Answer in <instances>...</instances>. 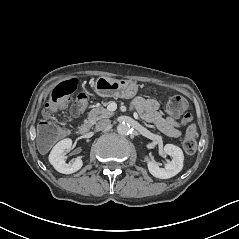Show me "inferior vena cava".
I'll use <instances>...</instances> for the list:
<instances>
[{"instance_id": "602c4592", "label": "inferior vena cava", "mask_w": 239, "mask_h": 239, "mask_svg": "<svg viewBox=\"0 0 239 239\" xmlns=\"http://www.w3.org/2000/svg\"><path fill=\"white\" fill-rule=\"evenodd\" d=\"M111 125L110 119H102L96 124L97 130H105Z\"/></svg>"}]
</instances>
